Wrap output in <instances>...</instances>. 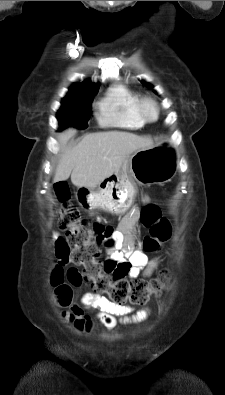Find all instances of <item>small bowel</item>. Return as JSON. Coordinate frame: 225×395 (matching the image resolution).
Masks as SVG:
<instances>
[{"instance_id":"small-bowel-1","label":"small bowel","mask_w":225,"mask_h":395,"mask_svg":"<svg viewBox=\"0 0 225 395\" xmlns=\"http://www.w3.org/2000/svg\"><path fill=\"white\" fill-rule=\"evenodd\" d=\"M138 220V212H130L119 231L114 232L109 227L95 224L94 233L99 245H104L108 258L105 260V270L116 278L135 279L140 274L150 276L158 267L159 258H148L142 251L136 249L130 239L126 237L130 227ZM54 254L58 266L66 270L67 280L72 281L74 292L86 289L85 279H82L80 267H73L71 260L72 247L66 237H53ZM82 304L86 308L97 309V319L109 330L117 327L118 323H135L147 318L148 310H140L133 314V309L125 305H117L103 296L93 294L92 288L86 289L82 297ZM68 318L79 331H89L93 321L84 313L83 308L73 305L67 313ZM117 317H120L118 319Z\"/></svg>"}]
</instances>
